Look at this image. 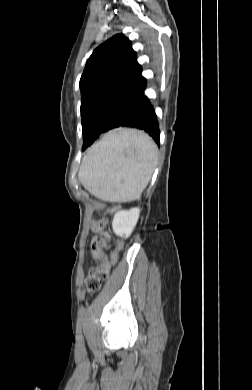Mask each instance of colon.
<instances>
[{"label":"colon","mask_w":252,"mask_h":390,"mask_svg":"<svg viewBox=\"0 0 252 390\" xmlns=\"http://www.w3.org/2000/svg\"><path fill=\"white\" fill-rule=\"evenodd\" d=\"M108 224V217H104L97 222V232L98 235L95 236L91 243V251L94 258L97 260H102V263L96 267L90 269L88 277L86 279V288L89 293H94L98 291L101 287L103 281H105L109 276V271L111 268V263L116 262L118 251L121 247V242H119L116 249L111 253L110 261L104 255V250L110 248V235L106 232Z\"/></svg>","instance_id":"colon-1"}]
</instances>
